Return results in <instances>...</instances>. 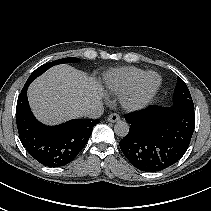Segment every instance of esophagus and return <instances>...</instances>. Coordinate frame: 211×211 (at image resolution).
<instances>
[{
    "instance_id": "1",
    "label": "esophagus",
    "mask_w": 211,
    "mask_h": 211,
    "mask_svg": "<svg viewBox=\"0 0 211 211\" xmlns=\"http://www.w3.org/2000/svg\"><path fill=\"white\" fill-rule=\"evenodd\" d=\"M107 120H108V122L115 123L120 120V116L116 113H112L107 117Z\"/></svg>"
}]
</instances>
